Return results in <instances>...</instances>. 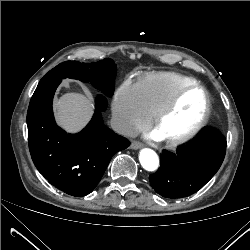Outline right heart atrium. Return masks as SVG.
Listing matches in <instances>:
<instances>
[{"mask_svg": "<svg viewBox=\"0 0 250 250\" xmlns=\"http://www.w3.org/2000/svg\"><path fill=\"white\" fill-rule=\"evenodd\" d=\"M112 116L114 127L122 135H132L151 121L135 84L124 81L115 91Z\"/></svg>", "mask_w": 250, "mask_h": 250, "instance_id": "1", "label": "right heart atrium"}]
</instances>
